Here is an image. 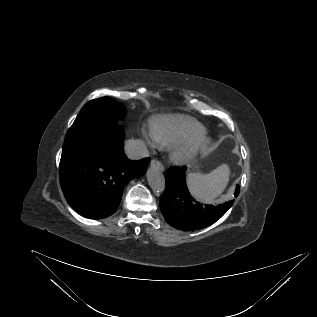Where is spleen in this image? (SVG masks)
Instances as JSON below:
<instances>
[{
  "label": "spleen",
  "instance_id": "spleen-1",
  "mask_svg": "<svg viewBox=\"0 0 317 317\" xmlns=\"http://www.w3.org/2000/svg\"><path fill=\"white\" fill-rule=\"evenodd\" d=\"M229 166L223 164L209 174L190 173L187 184L192 195L202 202H212L226 188L229 181Z\"/></svg>",
  "mask_w": 317,
  "mask_h": 317
}]
</instances>
